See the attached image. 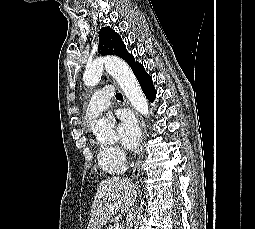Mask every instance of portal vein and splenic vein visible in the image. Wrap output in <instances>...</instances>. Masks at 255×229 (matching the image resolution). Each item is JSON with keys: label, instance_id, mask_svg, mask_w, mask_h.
I'll list each match as a JSON object with an SVG mask.
<instances>
[{"label": "portal vein and splenic vein", "instance_id": "portal-vein-and-splenic-vein-1", "mask_svg": "<svg viewBox=\"0 0 255 229\" xmlns=\"http://www.w3.org/2000/svg\"><path fill=\"white\" fill-rule=\"evenodd\" d=\"M115 229H122L121 224L117 223L116 226H115Z\"/></svg>", "mask_w": 255, "mask_h": 229}]
</instances>
